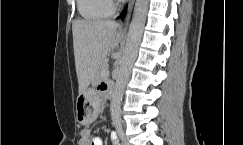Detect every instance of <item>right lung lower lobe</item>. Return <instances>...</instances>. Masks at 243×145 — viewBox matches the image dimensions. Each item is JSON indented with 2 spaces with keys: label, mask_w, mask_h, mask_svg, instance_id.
I'll return each instance as SVG.
<instances>
[{
  "label": "right lung lower lobe",
  "mask_w": 243,
  "mask_h": 145,
  "mask_svg": "<svg viewBox=\"0 0 243 145\" xmlns=\"http://www.w3.org/2000/svg\"><path fill=\"white\" fill-rule=\"evenodd\" d=\"M125 12H126V7H125V9L123 10V12H122V14H121V17H122V18L124 17Z\"/></svg>",
  "instance_id": "obj_1"
}]
</instances>
